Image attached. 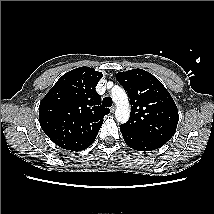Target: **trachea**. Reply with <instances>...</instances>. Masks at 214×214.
Wrapping results in <instances>:
<instances>
[{
	"label": "trachea",
	"mask_w": 214,
	"mask_h": 214,
	"mask_svg": "<svg viewBox=\"0 0 214 214\" xmlns=\"http://www.w3.org/2000/svg\"><path fill=\"white\" fill-rule=\"evenodd\" d=\"M112 99L110 98V97H105L104 99H103V105L105 106V107H111L112 106Z\"/></svg>",
	"instance_id": "1"
}]
</instances>
